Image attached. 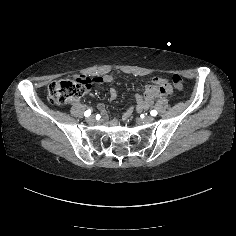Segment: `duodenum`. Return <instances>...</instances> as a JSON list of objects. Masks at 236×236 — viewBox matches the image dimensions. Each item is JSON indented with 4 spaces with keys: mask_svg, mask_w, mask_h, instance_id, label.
Instances as JSON below:
<instances>
[{
    "mask_svg": "<svg viewBox=\"0 0 236 236\" xmlns=\"http://www.w3.org/2000/svg\"><path fill=\"white\" fill-rule=\"evenodd\" d=\"M159 86H162L161 90L163 89V87H165V89H167V91H169V88L167 86V84L165 83H159L158 84ZM161 90H154V91H149L148 95H147V98L146 99H149L151 96L153 95H162V91ZM145 99V100H146ZM142 101H144V99H142Z\"/></svg>",
    "mask_w": 236,
    "mask_h": 236,
    "instance_id": "410a0bca",
    "label": "duodenum"
}]
</instances>
